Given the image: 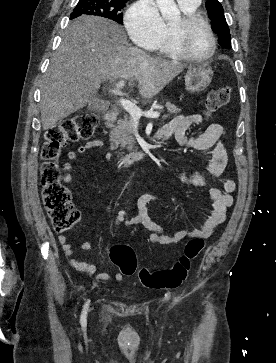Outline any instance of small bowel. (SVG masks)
I'll return each instance as SVG.
<instances>
[{
  "label": "small bowel",
  "mask_w": 276,
  "mask_h": 363,
  "mask_svg": "<svg viewBox=\"0 0 276 363\" xmlns=\"http://www.w3.org/2000/svg\"><path fill=\"white\" fill-rule=\"evenodd\" d=\"M204 120L200 113L174 117L168 124L159 130L157 134L162 136L161 139H166L174 136L180 145L197 151H206L212 149V155L208 160L207 167L203 172L175 173V179L182 185L188 187L199 188L207 184L209 179L219 177L226 169L228 162L227 149L223 140L225 130L218 123L210 124L206 130L198 136H188L187 130L194 124H200ZM101 140H92L84 145H80L76 150H71L67 153L69 160H75L79 154L86 153L93 148L101 147ZM64 170L71 172L74 170V165L71 162H66L63 165ZM73 176L68 173L63 181L71 182ZM236 189V182L232 178L223 179V187L221 189L212 188L209 191L212 201V212L205 222L198 228L180 230L175 233H168L164 228L153 221L148 212V204L158 201L157 195L147 193L139 197L137 201L138 214L129 218L124 210H120L115 218V226L125 224L127 226L142 225L151 232L150 241L162 245H175L186 238L201 237L206 238L212 235L215 230L225 221L227 209L233 203V192ZM58 240L62 245L64 254L70 265L79 272L87 273L94 276L97 281H122L124 275L121 272L114 274L108 272H97V267L94 264H89L75 258L72 245L67 242L64 235H59ZM90 241H84L79 245L81 251L87 252L91 249Z\"/></svg>",
  "instance_id": "obj_1"
}]
</instances>
